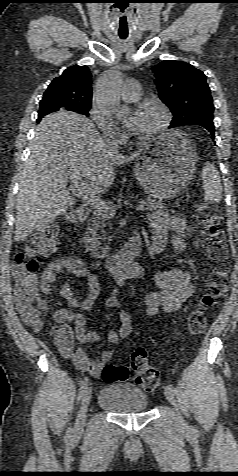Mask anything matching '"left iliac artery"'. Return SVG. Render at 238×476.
<instances>
[{
	"mask_svg": "<svg viewBox=\"0 0 238 476\" xmlns=\"http://www.w3.org/2000/svg\"><path fill=\"white\" fill-rule=\"evenodd\" d=\"M168 386H169V388L172 390V392H173L174 394L177 393L176 388H175L172 384H169ZM193 431H194V432H197V430H196L195 428H193Z\"/></svg>",
	"mask_w": 238,
	"mask_h": 476,
	"instance_id": "obj_1",
	"label": "left iliac artery"
}]
</instances>
